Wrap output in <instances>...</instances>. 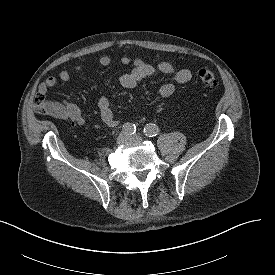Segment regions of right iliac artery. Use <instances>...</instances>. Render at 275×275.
<instances>
[{
  "label": "right iliac artery",
  "instance_id": "obj_1",
  "mask_svg": "<svg viewBox=\"0 0 275 275\" xmlns=\"http://www.w3.org/2000/svg\"><path fill=\"white\" fill-rule=\"evenodd\" d=\"M123 132L129 134V135H133L136 132V126L135 124L132 123H126L123 125Z\"/></svg>",
  "mask_w": 275,
  "mask_h": 275
}]
</instances>
